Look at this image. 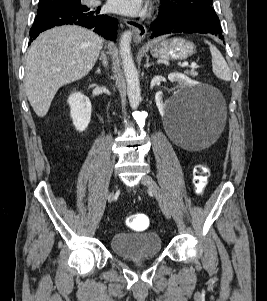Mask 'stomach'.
I'll list each match as a JSON object with an SVG mask.
<instances>
[{"label": "stomach", "mask_w": 267, "mask_h": 301, "mask_svg": "<svg viewBox=\"0 0 267 301\" xmlns=\"http://www.w3.org/2000/svg\"><path fill=\"white\" fill-rule=\"evenodd\" d=\"M154 57L164 60H184L196 51L195 45L182 38L158 41L150 45Z\"/></svg>", "instance_id": "obj_1"}]
</instances>
